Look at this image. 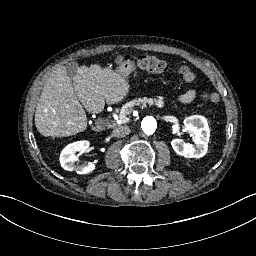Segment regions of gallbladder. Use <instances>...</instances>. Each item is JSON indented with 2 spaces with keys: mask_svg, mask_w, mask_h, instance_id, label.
I'll list each match as a JSON object with an SVG mask.
<instances>
[{
  "mask_svg": "<svg viewBox=\"0 0 256 256\" xmlns=\"http://www.w3.org/2000/svg\"><path fill=\"white\" fill-rule=\"evenodd\" d=\"M78 68L79 66L77 62H74V61L69 62L66 65L67 76H69L70 78H73L76 75Z\"/></svg>",
  "mask_w": 256,
  "mask_h": 256,
  "instance_id": "gallbladder-1",
  "label": "gallbladder"
}]
</instances>
